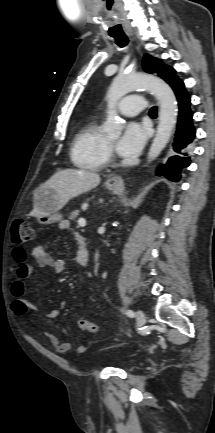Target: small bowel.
<instances>
[{"label": "small bowel", "instance_id": "small-bowel-1", "mask_svg": "<svg viewBox=\"0 0 215 433\" xmlns=\"http://www.w3.org/2000/svg\"><path fill=\"white\" fill-rule=\"evenodd\" d=\"M63 228H69V224H63ZM79 244L84 243L83 239L79 236L77 237ZM80 249V248H79ZM14 258L17 261V267L15 270V275L10 284V293L14 298L12 304V310L17 316H25L28 311L34 310L36 307L31 302L25 299V286L26 280L28 279L31 273V265L26 262V251L23 248H16L14 250ZM32 255L37 260V263L42 267H49L53 270L55 274H61L65 270V263L61 260H55L51 254L48 252L47 248L43 245H37L32 250ZM78 255L76 260L78 262ZM79 263V262H78ZM43 316L47 319H54L57 317V311L51 310L43 314ZM63 331L66 335H69L66 328H63ZM48 340L50 344L57 350L59 353L68 352L72 344L70 341H61L55 334L49 333L47 334ZM87 349L86 345H80L77 348V351L80 353L85 352Z\"/></svg>", "mask_w": 215, "mask_h": 433}]
</instances>
